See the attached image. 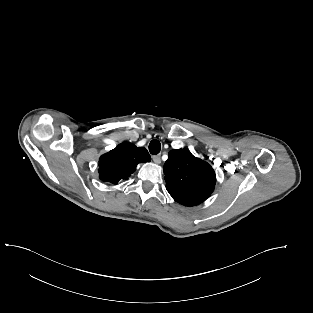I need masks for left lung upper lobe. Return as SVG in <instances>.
<instances>
[{
  "instance_id": "obj_1",
  "label": "left lung upper lobe",
  "mask_w": 313,
  "mask_h": 313,
  "mask_svg": "<svg viewBox=\"0 0 313 313\" xmlns=\"http://www.w3.org/2000/svg\"><path fill=\"white\" fill-rule=\"evenodd\" d=\"M164 174L169 194L176 202L188 207L205 201L216 183L213 168L185 148L169 152Z\"/></svg>"
}]
</instances>
